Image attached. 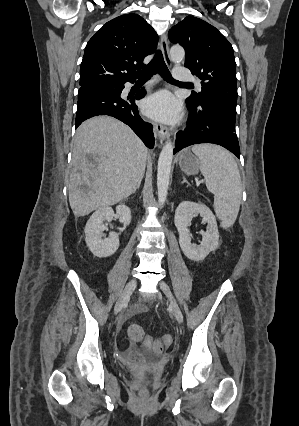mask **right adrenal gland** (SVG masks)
<instances>
[{
    "mask_svg": "<svg viewBox=\"0 0 299 426\" xmlns=\"http://www.w3.org/2000/svg\"><path fill=\"white\" fill-rule=\"evenodd\" d=\"M143 177H144V176H142V177L139 179V181L137 182V185H136V187H135V189H134L133 193H135V192H136V190H138V189L140 188V185H141V182H142Z\"/></svg>",
    "mask_w": 299,
    "mask_h": 426,
    "instance_id": "1",
    "label": "right adrenal gland"
}]
</instances>
